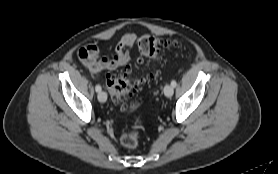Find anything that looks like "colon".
I'll return each mask as SVG.
<instances>
[{
	"label": "colon",
	"instance_id": "1",
	"mask_svg": "<svg viewBox=\"0 0 278 174\" xmlns=\"http://www.w3.org/2000/svg\"><path fill=\"white\" fill-rule=\"evenodd\" d=\"M170 41L163 40L153 35H144L139 39L138 47L141 54L151 59H157L159 50L163 46L170 45ZM141 62V59H139ZM153 75L133 76L130 67L125 68L122 72L109 74L106 85L114 102L121 104L124 109L133 110L140 106V101L128 104L127 101L135 93L143 89ZM144 117L136 115L132 120V128L121 137V143L124 147L133 148L138 144V128L143 124Z\"/></svg>",
	"mask_w": 278,
	"mask_h": 174
}]
</instances>
